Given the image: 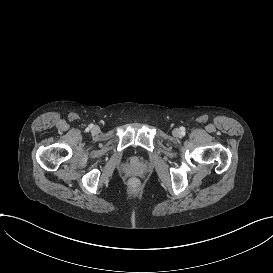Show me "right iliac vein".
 Returning <instances> with one entry per match:
<instances>
[{
	"label": "right iliac vein",
	"instance_id": "1",
	"mask_svg": "<svg viewBox=\"0 0 273 273\" xmlns=\"http://www.w3.org/2000/svg\"><path fill=\"white\" fill-rule=\"evenodd\" d=\"M92 131H93V132H96V129H93Z\"/></svg>",
	"mask_w": 273,
	"mask_h": 273
}]
</instances>
